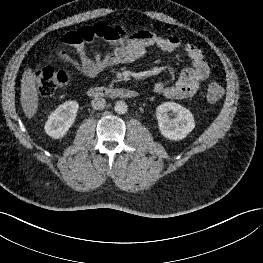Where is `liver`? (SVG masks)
<instances>
[{"label": "liver", "instance_id": "obj_1", "mask_svg": "<svg viewBox=\"0 0 263 263\" xmlns=\"http://www.w3.org/2000/svg\"><path fill=\"white\" fill-rule=\"evenodd\" d=\"M36 74L27 68L21 80V105L26 117L34 116L38 109V92L36 88Z\"/></svg>", "mask_w": 263, "mask_h": 263}]
</instances>
